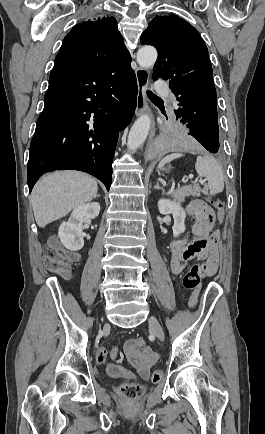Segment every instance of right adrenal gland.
Segmentation results:
<instances>
[{"instance_id": "1", "label": "right adrenal gland", "mask_w": 265, "mask_h": 434, "mask_svg": "<svg viewBox=\"0 0 265 434\" xmlns=\"http://www.w3.org/2000/svg\"><path fill=\"white\" fill-rule=\"evenodd\" d=\"M98 196H100V194H95V196H93V198H98Z\"/></svg>"}]
</instances>
